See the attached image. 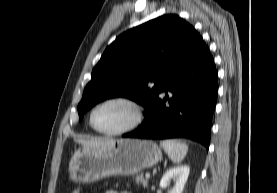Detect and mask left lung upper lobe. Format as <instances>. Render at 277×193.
<instances>
[{"mask_svg": "<svg viewBox=\"0 0 277 193\" xmlns=\"http://www.w3.org/2000/svg\"><path fill=\"white\" fill-rule=\"evenodd\" d=\"M198 36L177 15H163L122 33L94 67L78 105L79 119L96 103L117 96L140 103L148 112Z\"/></svg>", "mask_w": 277, "mask_h": 193, "instance_id": "left-lung-upper-lobe-1", "label": "left lung upper lobe"}]
</instances>
